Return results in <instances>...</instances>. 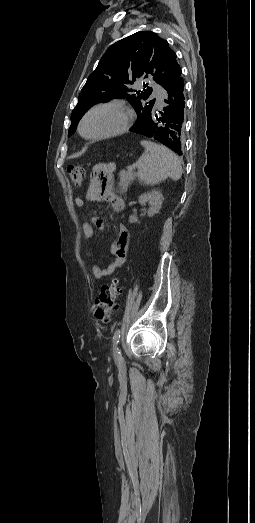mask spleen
I'll return each mask as SVG.
<instances>
[{
    "label": "spleen",
    "mask_w": 255,
    "mask_h": 523,
    "mask_svg": "<svg viewBox=\"0 0 255 523\" xmlns=\"http://www.w3.org/2000/svg\"><path fill=\"white\" fill-rule=\"evenodd\" d=\"M141 146H144L145 152L136 162L138 168V178L143 184H159L166 178L180 180L182 176L181 162L171 150L165 146H158L153 142L143 140Z\"/></svg>",
    "instance_id": "3e777b00"
}]
</instances>
